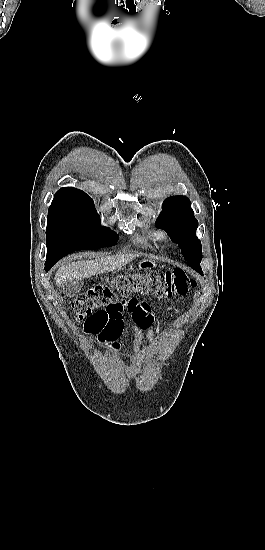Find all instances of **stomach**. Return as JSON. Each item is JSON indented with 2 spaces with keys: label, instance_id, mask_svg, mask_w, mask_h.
I'll list each match as a JSON object with an SVG mask.
<instances>
[{
  "label": "stomach",
  "instance_id": "1",
  "mask_svg": "<svg viewBox=\"0 0 265 550\" xmlns=\"http://www.w3.org/2000/svg\"><path fill=\"white\" fill-rule=\"evenodd\" d=\"M156 266L157 262L154 259H142L137 264L138 270H148L155 268Z\"/></svg>",
  "mask_w": 265,
  "mask_h": 550
}]
</instances>
